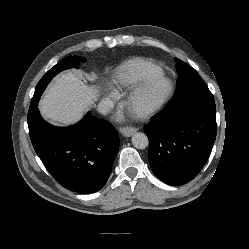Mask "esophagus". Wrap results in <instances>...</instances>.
<instances>
[{
  "mask_svg": "<svg viewBox=\"0 0 249 249\" xmlns=\"http://www.w3.org/2000/svg\"><path fill=\"white\" fill-rule=\"evenodd\" d=\"M137 131L136 128H132V127H124L120 130L121 134L125 137H130L131 135H133L135 132Z\"/></svg>",
  "mask_w": 249,
  "mask_h": 249,
  "instance_id": "1",
  "label": "esophagus"
}]
</instances>
